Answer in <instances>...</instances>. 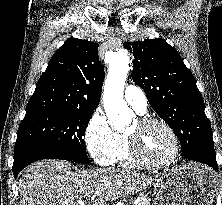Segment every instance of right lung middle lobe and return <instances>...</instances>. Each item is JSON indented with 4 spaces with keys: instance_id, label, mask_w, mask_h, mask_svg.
<instances>
[{
    "instance_id": "right-lung-middle-lobe-1",
    "label": "right lung middle lobe",
    "mask_w": 222,
    "mask_h": 205,
    "mask_svg": "<svg viewBox=\"0 0 222 205\" xmlns=\"http://www.w3.org/2000/svg\"><path fill=\"white\" fill-rule=\"evenodd\" d=\"M94 110L56 109L26 114L21 122L15 149L45 146L78 163L87 164L83 136Z\"/></svg>"
}]
</instances>
